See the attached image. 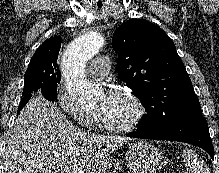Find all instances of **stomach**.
I'll use <instances>...</instances> for the list:
<instances>
[{"instance_id": "0dacf381", "label": "stomach", "mask_w": 219, "mask_h": 173, "mask_svg": "<svg viewBox=\"0 0 219 173\" xmlns=\"http://www.w3.org/2000/svg\"><path fill=\"white\" fill-rule=\"evenodd\" d=\"M126 161L132 173H156L163 166L164 155L152 144L140 140L128 147Z\"/></svg>"}]
</instances>
